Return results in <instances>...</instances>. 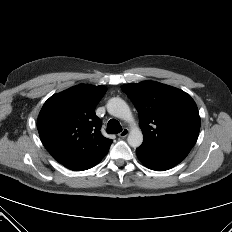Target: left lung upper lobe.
<instances>
[{
  "mask_svg": "<svg viewBox=\"0 0 232 232\" xmlns=\"http://www.w3.org/2000/svg\"><path fill=\"white\" fill-rule=\"evenodd\" d=\"M121 89L139 113V125L144 135L140 149H192L199 135L200 117L190 95L153 81L127 84Z\"/></svg>",
  "mask_w": 232,
  "mask_h": 232,
  "instance_id": "1",
  "label": "left lung upper lobe"
}]
</instances>
